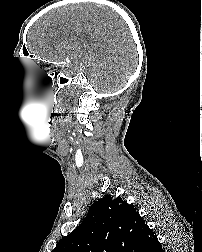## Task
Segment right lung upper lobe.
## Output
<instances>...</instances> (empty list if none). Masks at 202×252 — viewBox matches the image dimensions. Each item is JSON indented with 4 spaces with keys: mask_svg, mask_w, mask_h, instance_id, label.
<instances>
[{
    "mask_svg": "<svg viewBox=\"0 0 202 252\" xmlns=\"http://www.w3.org/2000/svg\"><path fill=\"white\" fill-rule=\"evenodd\" d=\"M159 245L134 206L106 195L52 252H154Z\"/></svg>",
    "mask_w": 202,
    "mask_h": 252,
    "instance_id": "obj_1",
    "label": "right lung upper lobe"
}]
</instances>
